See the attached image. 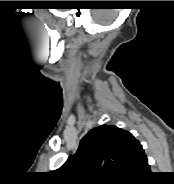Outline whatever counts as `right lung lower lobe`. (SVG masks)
Wrapping results in <instances>:
<instances>
[{
  "label": "right lung lower lobe",
  "mask_w": 174,
  "mask_h": 184,
  "mask_svg": "<svg viewBox=\"0 0 174 184\" xmlns=\"http://www.w3.org/2000/svg\"><path fill=\"white\" fill-rule=\"evenodd\" d=\"M151 175L150 167L145 158L137 168L124 180L117 182L118 184H146Z\"/></svg>",
  "instance_id": "98d812e1"
}]
</instances>
